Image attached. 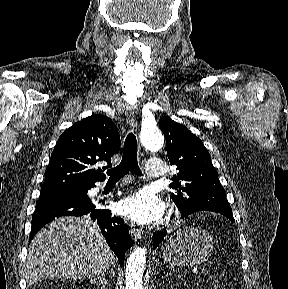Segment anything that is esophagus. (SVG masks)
<instances>
[{
  "instance_id": "1",
  "label": "esophagus",
  "mask_w": 288,
  "mask_h": 289,
  "mask_svg": "<svg viewBox=\"0 0 288 289\" xmlns=\"http://www.w3.org/2000/svg\"><path fill=\"white\" fill-rule=\"evenodd\" d=\"M126 121L129 125V127L132 129V130H135L136 127H137V119H136V116H137V107L135 105H131L127 108L126 110ZM129 228H130V234L131 236L133 237L134 240H141L142 239V236H143V232L142 230L134 227L133 225H129Z\"/></svg>"
}]
</instances>
